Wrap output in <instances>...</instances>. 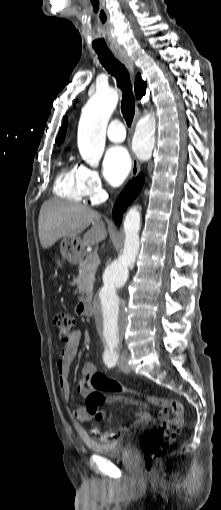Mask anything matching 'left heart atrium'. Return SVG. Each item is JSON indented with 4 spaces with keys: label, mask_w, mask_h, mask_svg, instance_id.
Masks as SVG:
<instances>
[{
    "label": "left heart atrium",
    "mask_w": 221,
    "mask_h": 510,
    "mask_svg": "<svg viewBox=\"0 0 221 510\" xmlns=\"http://www.w3.org/2000/svg\"><path fill=\"white\" fill-rule=\"evenodd\" d=\"M103 168L107 181L113 186L120 185L131 169V159L126 148L111 146L105 153Z\"/></svg>",
    "instance_id": "39dd6f15"
}]
</instances>
